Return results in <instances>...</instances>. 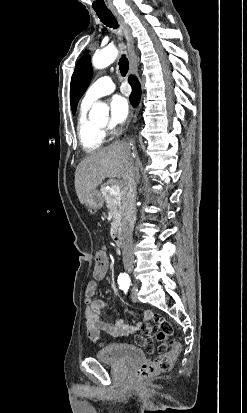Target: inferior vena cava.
<instances>
[{"label": "inferior vena cava", "instance_id": "inferior-vena-cava-1", "mask_svg": "<svg viewBox=\"0 0 247 413\" xmlns=\"http://www.w3.org/2000/svg\"><path fill=\"white\" fill-rule=\"evenodd\" d=\"M115 142H122L125 144L128 152L126 166L122 174L123 188H122V255L125 271L131 273L133 271V249H132V233L136 215V182L135 172L136 166L131 154V146L134 144L133 140H115Z\"/></svg>", "mask_w": 247, "mask_h": 413}]
</instances>
